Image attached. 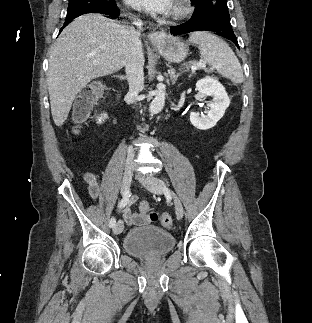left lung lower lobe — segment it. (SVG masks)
I'll use <instances>...</instances> for the list:
<instances>
[{"label": "left lung lower lobe", "mask_w": 312, "mask_h": 323, "mask_svg": "<svg viewBox=\"0 0 312 323\" xmlns=\"http://www.w3.org/2000/svg\"><path fill=\"white\" fill-rule=\"evenodd\" d=\"M171 34L181 35L194 31H211L224 38L232 40L236 43L237 38L230 24V16L226 14L207 15L201 20L187 21L181 25L170 27Z\"/></svg>", "instance_id": "obj_1"}]
</instances>
